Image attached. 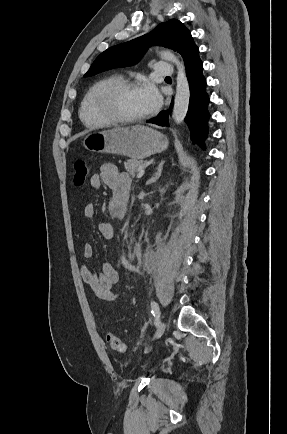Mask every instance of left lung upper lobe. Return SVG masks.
<instances>
[{
    "label": "left lung upper lobe",
    "mask_w": 287,
    "mask_h": 434,
    "mask_svg": "<svg viewBox=\"0 0 287 434\" xmlns=\"http://www.w3.org/2000/svg\"><path fill=\"white\" fill-rule=\"evenodd\" d=\"M151 45L164 46L179 52L184 63L199 53L189 30L179 20L171 19L159 24L146 35L108 48L95 59L84 77L112 68L134 65Z\"/></svg>",
    "instance_id": "1"
}]
</instances>
